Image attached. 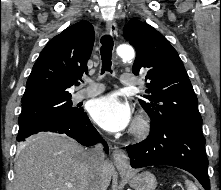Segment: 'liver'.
I'll return each instance as SVG.
<instances>
[{"label":"liver","instance_id":"1","mask_svg":"<svg viewBox=\"0 0 221 190\" xmlns=\"http://www.w3.org/2000/svg\"><path fill=\"white\" fill-rule=\"evenodd\" d=\"M87 152L76 141L58 134L30 137L16 155L13 190H89L96 174ZM113 171L112 163L105 161L99 178L102 190L109 186Z\"/></svg>","mask_w":221,"mask_h":190}]
</instances>
